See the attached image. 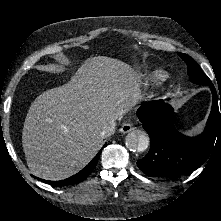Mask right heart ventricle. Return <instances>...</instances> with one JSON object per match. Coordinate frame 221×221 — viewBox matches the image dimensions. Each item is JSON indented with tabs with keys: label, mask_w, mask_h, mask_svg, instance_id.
<instances>
[{
	"label": "right heart ventricle",
	"mask_w": 221,
	"mask_h": 221,
	"mask_svg": "<svg viewBox=\"0 0 221 221\" xmlns=\"http://www.w3.org/2000/svg\"><path fill=\"white\" fill-rule=\"evenodd\" d=\"M151 77L153 80H160L164 75L161 72H154Z\"/></svg>",
	"instance_id": "right-heart-ventricle-1"
}]
</instances>
